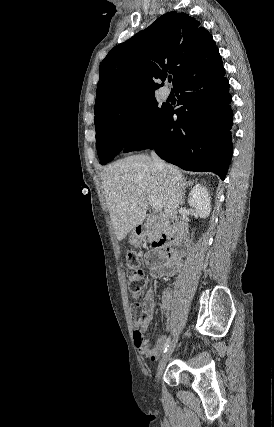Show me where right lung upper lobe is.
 <instances>
[{
  "label": "right lung upper lobe",
  "mask_w": 274,
  "mask_h": 427,
  "mask_svg": "<svg viewBox=\"0 0 274 427\" xmlns=\"http://www.w3.org/2000/svg\"><path fill=\"white\" fill-rule=\"evenodd\" d=\"M222 64L212 36L186 13L171 11L115 46L101 62L95 114L124 99L154 94L168 73L175 88Z\"/></svg>",
  "instance_id": "obj_1"
}]
</instances>
